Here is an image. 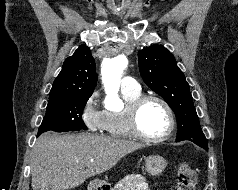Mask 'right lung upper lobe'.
Wrapping results in <instances>:
<instances>
[{"label": "right lung upper lobe", "mask_w": 238, "mask_h": 190, "mask_svg": "<svg viewBox=\"0 0 238 190\" xmlns=\"http://www.w3.org/2000/svg\"><path fill=\"white\" fill-rule=\"evenodd\" d=\"M96 83L94 58L89 47L80 45L75 53L64 61L62 70L51 88L49 100L72 95H91Z\"/></svg>", "instance_id": "1"}]
</instances>
